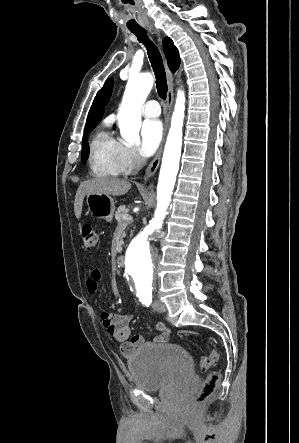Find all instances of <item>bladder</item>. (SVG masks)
<instances>
[{
	"instance_id": "31cf9c89",
	"label": "bladder",
	"mask_w": 299,
	"mask_h": 443,
	"mask_svg": "<svg viewBox=\"0 0 299 443\" xmlns=\"http://www.w3.org/2000/svg\"><path fill=\"white\" fill-rule=\"evenodd\" d=\"M133 383L145 391H158L193 377V360L181 346L162 343L142 346L127 361Z\"/></svg>"
}]
</instances>
